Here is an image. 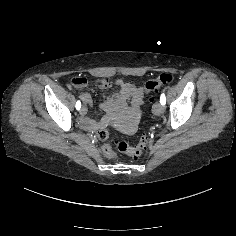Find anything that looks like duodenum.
<instances>
[{"label": "duodenum", "instance_id": "obj_1", "mask_svg": "<svg viewBox=\"0 0 236 236\" xmlns=\"http://www.w3.org/2000/svg\"><path fill=\"white\" fill-rule=\"evenodd\" d=\"M119 85L121 86V91H120V93L117 94L116 99H114V100L109 99L104 103V106L108 111H113L117 108L125 107L126 106V99H129L134 92V90L131 86H128L124 83H120ZM135 106L137 107V102H135ZM107 121H109V118H107L103 123L98 124L92 120L84 119L82 121V124H83L84 128L90 130V129H95L97 127H100L101 125H103Z\"/></svg>", "mask_w": 236, "mask_h": 236}]
</instances>
